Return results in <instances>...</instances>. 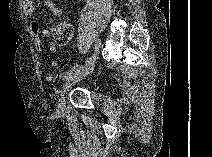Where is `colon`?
<instances>
[{
  "label": "colon",
  "mask_w": 212,
  "mask_h": 157,
  "mask_svg": "<svg viewBox=\"0 0 212 157\" xmlns=\"http://www.w3.org/2000/svg\"><path fill=\"white\" fill-rule=\"evenodd\" d=\"M52 33L57 43L66 44L73 38L74 27L69 20H60L53 25Z\"/></svg>",
  "instance_id": "colon-1"
}]
</instances>
